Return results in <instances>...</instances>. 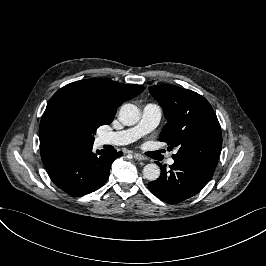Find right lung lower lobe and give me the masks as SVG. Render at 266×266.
<instances>
[{
  "mask_svg": "<svg viewBox=\"0 0 266 266\" xmlns=\"http://www.w3.org/2000/svg\"><path fill=\"white\" fill-rule=\"evenodd\" d=\"M81 146L62 153L48 169L51 180L71 196H83L99 189L109 177L112 162L122 152L98 150Z\"/></svg>",
  "mask_w": 266,
  "mask_h": 266,
  "instance_id": "1",
  "label": "right lung lower lobe"
}]
</instances>
